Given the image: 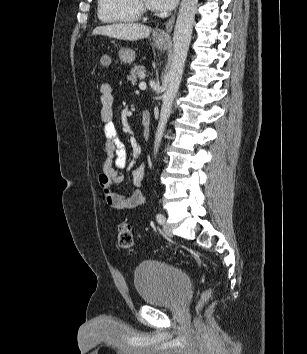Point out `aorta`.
<instances>
[{"mask_svg": "<svg viewBox=\"0 0 307 354\" xmlns=\"http://www.w3.org/2000/svg\"><path fill=\"white\" fill-rule=\"evenodd\" d=\"M198 0H182L173 35V55L168 71L169 84L162 96L160 118L155 134L154 155L158 153L172 104L179 90L189 50Z\"/></svg>", "mask_w": 307, "mask_h": 354, "instance_id": "1", "label": "aorta"}]
</instances>
